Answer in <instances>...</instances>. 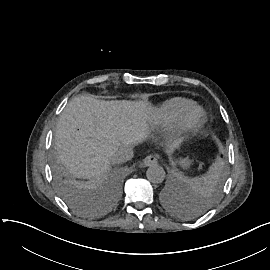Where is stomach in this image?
<instances>
[{
    "label": "stomach",
    "instance_id": "stomach-1",
    "mask_svg": "<svg viewBox=\"0 0 270 270\" xmlns=\"http://www.w3.org/2000/svg\"><path fill=\"white\" fill-rule=\"evenodd\" d=\"M178 164L181 166L182 169L188 170L192 164V160H190L188 157L180 158L178 160Z\"/></svg>",
    "mask_w": 270,
    "mask_h": 270
}]
</instances>
